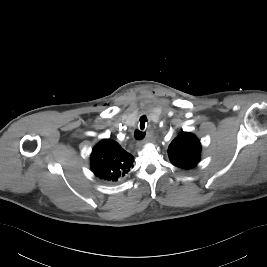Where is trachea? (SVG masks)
<instances>
[{
	"instance_id": "obj_1",
	"label": "trachea",
	"mask_w": 267,
	"mask_h": 267,
	"mask_svg": "<svg viewBox=\"0 0 267 267\" xmlns=\"http://www.w3.org/2000/svg\"><path fill=\"white\" fill-rule=\"evenodd\" d=\"M139 121H140L139 127L141 131L137 129L134 132V136L137 140H141L145 137V132H143V130L145 129V125L148 120H147V117L143 115L140 117Z\"/></svg>"
}]
</instances>
